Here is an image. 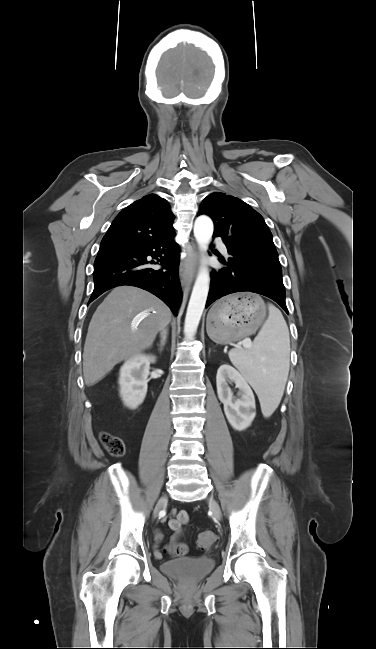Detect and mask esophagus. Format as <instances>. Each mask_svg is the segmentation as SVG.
<instances>
[{
	"label": "esophagus",
	"mask_w": 376,
	"mask_h": 649,
	"mask_svg": "<svg viewBox=\"0 0 376 649\" xmlns=\"http://www.w3.org/2000/svg\"><path fill=\"white\" fill-rule=\"evenodd\" d=\"M197 262H198V251L194 246L192 255L188 257L184 262V271L182 273V283L184 286H186L188 282L194 279Z\"/></svg>",
	"instance_id": "1"
}]
</instances>
